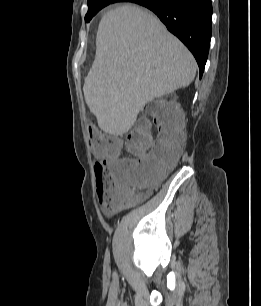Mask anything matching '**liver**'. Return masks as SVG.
<instances>
[{
	"label": "liver",
	"instance_id": "liver-1",
	"mask_svg": "<svg viewBox=\"0 0 261 306\" xmlns=\"http://www.w3.org/2000/svg\"><path fill=\"white\" fill-rule=\"evenodd\" d=\"M196 75L188 49L149 12L134 5L101 19L85 102L106 133L123 135L145 104L187 87Z\"/></svg>",
	"mask_w": 261,
	"mask_h": 306
}]
</instances>
